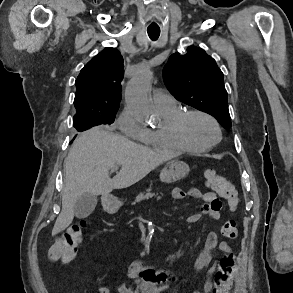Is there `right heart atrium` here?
Returning <instances> with one entry per match:
<instances>
[{"label": "right heart atrium", "instance_id": "obj_1", "mask_svg": "<svg viewBox=\"0 0 293 293\" xmlns=\"http://www.w3.org/2000/svg\"><path fill=\"white\" fill-rule=\"evenodd\" d=\"M116 127L125 135L137 140L147 137L148 129L142 126L128 108H124L115 121Z\"/></svg>", "mask_w": 293, "mask_h": 293}]
</instances>
